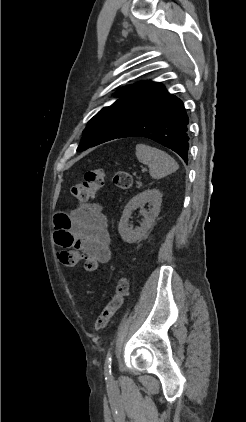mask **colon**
<instances>
[{
	"label": "colon",
	"mask_w": 246,
	"mask_h": 422,
	"mask_svg": "<svg viewBox=\"0 0 246 422\" xmlns=\"http://www.w3.org/2000/svg\"><path fill=\"white\" fill-rule=\"evenodd\" d=\"M105 178L106 173L101 168L88 170L84 175L83 181L76 183L72 187L71 192L79 200H89L102 188ZM113 182L119 189L127 190L132 185V177L127 171L120 170L115 173ZM59 260L63 265L70 267L83 261L84 268L88 272H93L98 267V262L94 258L86 257L76 250H62L59 253ZM127 290V280L120 278L116 283L114 293L109 302L97 316L94 324L97 331L104 329L117 310L121 308Z\"/></svg>",
	"instance_id": "colon-1"
}]
</instances>
